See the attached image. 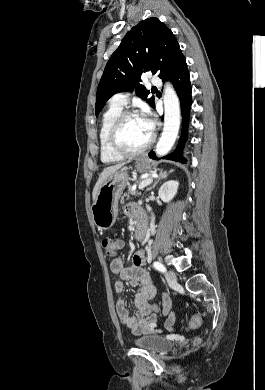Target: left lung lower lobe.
I'll list each match as a JSON object with an SVG mask.
<instances>
[{
    "mask_svg": "<svg viewBox=\"0 0 265 390\" xmlns=\"http://www.w3.org/2000/svg\"><path fill=\"white\" fill-rule=\"evenodd\" d=\"M166 79H169L172 82L180 99L182 113V135L177 149L173 153L163 158L184 163L186 162V159L182 155V148L187 138V125L189 122L192 98L189 71L187 69L186 59L182 53L176 58L169 74L166 76V78L163 79V81ZM149 157L152 159H158L153 151L149 153Z\"/></svg>",
    "mask_w": 265,
    "mask_h": 390,
    "instance_id": "left-lung-lower-lobe-1",
    "label": "left lung lower lobe"
}]
</instances>
